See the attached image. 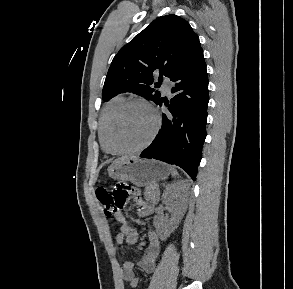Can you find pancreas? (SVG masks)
Returning a JSON list of instances; mask_svg holds the SVG:
<instances>
[{
	"mask_svg": "<svg viewBox=\"0 0 293 289\" xmlns=\"http://www.w3.org/2000/svg\"><path fill=\"white\" fill-rule=\"evenodd\" d=\"M145 199L157 203L159 201L160 192L156 184L147 185L144 192Z\"/></svg>",
	"mask_w": 293,
	"mask_h": 289,
	"instance_id": "obj_1",
	"label": "pancreas"
}]
</instances>
